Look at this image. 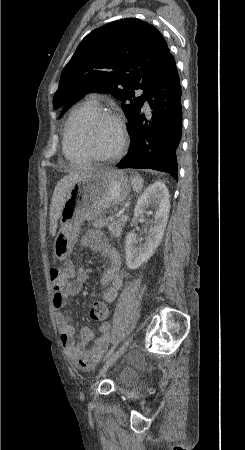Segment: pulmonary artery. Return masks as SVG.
<instances>
[{
    "label": "pulmonary artery",
    "instance_id": "pulmonary-artery-1",
    "mask_svg": "<svg viewBox=\"0 0 245 450\" xmlns=\"http://www.w3.org/2000/svg\"><path fill=\"white\" fill-rule=\"evenodd\" d=\"M91 98L95 100V99H96V95H95V94H92V95H91ZM145 105H148V102H147V101L145 102Z\"/></svg>",
    "mask_w": 245,
    "mask_h": 450
}]
</instances>
